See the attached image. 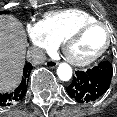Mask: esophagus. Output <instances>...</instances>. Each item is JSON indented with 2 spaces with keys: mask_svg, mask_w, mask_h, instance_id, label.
Instances as JSON below:
<instances>
[{
  "mask_svg": "<svg viewBox=\"0 0 117 117\" xmlns=\"http://www.w3.org/2000/svg\"><path fill=\"white\" fill-rule=\"evenodd\" d=\"M45 65L49 68H54L58 65V62L54 60H47Z\"/></svg>",
  "mask_w": 117,
  "mask_h": 117,
  "instance_id": "34e87169",
  "label": "esophagus"
}]
</instances>
